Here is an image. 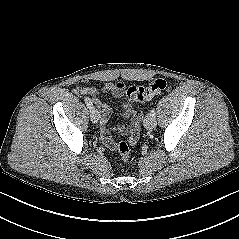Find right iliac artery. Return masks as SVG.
Masks as SVG:
<instances>
[{
	"mask_svg": "<svg viewBox=\"0 0 239 239\" xmlns=\"http://www.w3.org/2000/svg\"><path fill=\"white\" fill-rule=\"evenodd\" d=\"M84 101H85L87 107H88L90 110L94 108V107H93V104H92V102H91V100H90V98L85 97Z\"/></svg>",
	"mask_w": 239,
	"mask_h": 239,
	"instance_id": "1",
	"label": "right iliac artery"
}]
</instances>
